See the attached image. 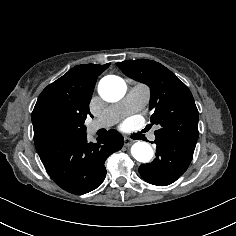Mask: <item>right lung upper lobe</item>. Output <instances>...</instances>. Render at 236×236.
Segmentation results:
<instances>
[{
    "mask_svg": "<svg viewBox=\"0 0 236 236\" xmlns=\"http://www.w3.org/2000/svg\"><path fill=\"white\" fill-rule=\"evenodd\" d=\"M109 65L110 63L75 66L42 91L32 112L36 143H38L39 131L48 119L90 114L88 106L97 76Z\"/></svg>",
    "mask_w": 236,
    "mask_h": 236,
    "instance_id": "1",
    "label": "right lung upper lobe"
}]
</instances>
